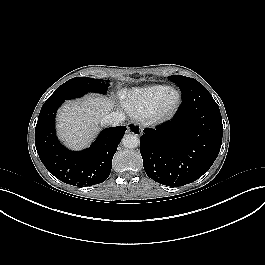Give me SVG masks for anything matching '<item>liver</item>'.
Segmentation results:
<instances>
[{
  "label": "liver",
  "mask_w": 265,
  "mask_h": 265,
  "mask_svg": "<svg viewBox=\"0 0 265 265\" xmlns=\"http://www.w3.org/2000/svg\"><path fill=\"white\" fill-rule=\"evenodd\" d=\"M109 98L88 95L69 101L57 115V132L65 145L73 150L86 148L98 133V124L113 109Z\"/></svg>",
  "instance_id": "1"
}]
</instances>
